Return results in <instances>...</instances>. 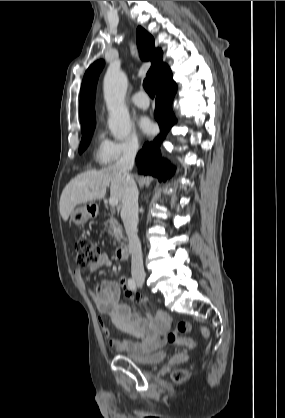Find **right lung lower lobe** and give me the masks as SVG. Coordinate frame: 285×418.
<instances>
[{"label": "right lung lower lobe", "mask_w": 285, "mask_h": 418, "mask_svg": "<svg viewBox=\"0 0 285 418\" xmlns=\"http://www.w3.org/2000/svg\"><path fill=\"white\" fill-rule=\"evenodd\" d=\"M176 91L177 85L172 77L157 89L154 116L160 126V134L153 141L147 142L136 157L139 173L153 175L160 181L166 180L174 173L169 162L161 158L159 148L160 143L176 121L172 111V101Z\"/></svg>", "instance_id": "right-lung-lower-lobe-1"}]
</instances>
